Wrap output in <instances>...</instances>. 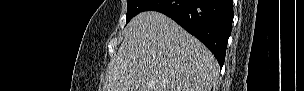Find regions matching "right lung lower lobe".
<instances>
[{
	"label": "right lung lower lobe",
	"mask_w": 304,
	"mask_h": 91,
	"mask_svg": "<svg viewBox=\"0 0 304 91\" xmlns=\"http://www.w3.org/2000/svg\"><path fill=\"white\" fill-rule=\"evenodd\" d=\"M143 11H158L198 38L223 66L234 17L233 0H152Z\"/></svg>",
	"instance_id": "right-lung-lower-lobe-1"
}]
</instances>
